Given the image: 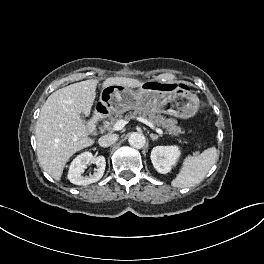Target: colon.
Segmentation results:
<instances>
[{
    "instance_id": "colon-1",
    "label": "colon",
    "mask_w": 264,
    "mask_h": 264,
    "mask_svg": "<svg viewBox=\"0 0 264 264\" xmlns=\"http://www.w3.org/2000/svg\"><path fill=\"white\" fill-rule=\"evenodd\" d=\"M163 89H164V90H169L170 87H169V86H164Z\"/></svg>"
}]
</instances>
